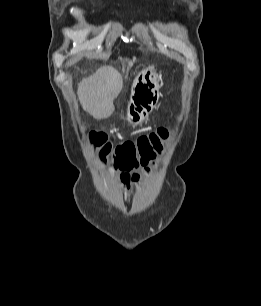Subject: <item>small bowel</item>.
<instances>
[{"instance_id":"1","label":"small bowel","mask_w":261,"mask_h":306,"mask_svg":"<svg viewBox=\"0 0 261 306\" xmlns=\"http://www.w3.org/2000/svg\"><path fill=\"white\" fill-rule=\"evenodd\" d=\"M147 173V170H141L134 172L120 171L117 174L116 178L127 199H130L134 190L146 184Z\"/></svg>"}]
</instances>
